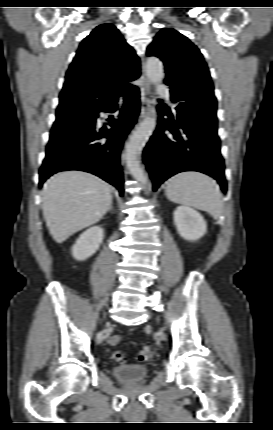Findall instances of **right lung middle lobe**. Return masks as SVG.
<instances>
[{
    "mask_svg": "<svg viewBox=\"0 0 273 430\" xmlns=\"http://www.w3.org/2000/svg\"><path fill=\"white\" fill-rule=\"evenodd\" d=\"M91 111L81 102H71L58 107L56 121L51 130V136L77 130L86 126L90 120Z\"/></svg>",
    "mask_w": 273,
    "mask_h": 430,
    "instance_id": "1",
    "label": "right lung middle lobe"
}]
</instances>
